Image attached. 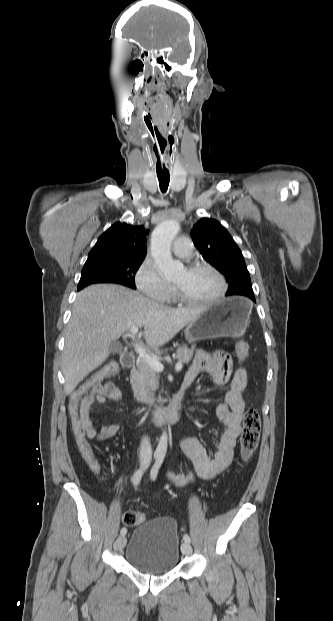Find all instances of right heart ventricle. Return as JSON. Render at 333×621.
<instances>
[{"label": "right heart ventricle", "instance_id": "1", "mask_svg": "<svg viewBox=\"0 0 333 621\" xmlns=\"http://www.w3.org/2000/svg\"><path fill=\"white\" fill-rule=\"evenodd\" d=\"M171 299H173V295H172V294L170 295V297H169V299H168V300H171Z\"/></svg>", "mask_w": 333, "mask_h": 621}]
</instances>
